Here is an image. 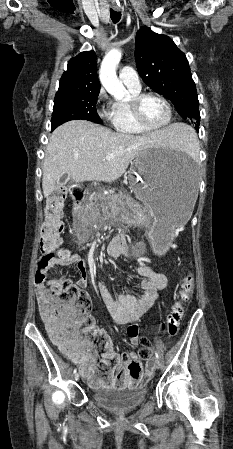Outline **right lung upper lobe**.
<instances>
[{
    "mask_svg": "<svg viewBox=\"0 0 233 449\" xmlns=\"http://www.w3.org/2000/svg\"><path fill=\"white\" fill-rule=\"evenodd\" d=\"M99 91L100 82L96 76V55L94 51H89L78 54L68 62L67 71L60 79L56 95Z\"/></svg>",
    "mask_w": 233,
    "mask_h": 449,
    "instance_id": "cb5924a9",
    "label": "right lung upper lobe"
}]
</instances>
